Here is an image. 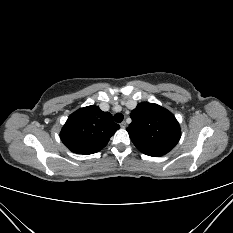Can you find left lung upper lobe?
Returning <instances> with one entry per match:
<instances>
[{"instance_id":"left-lung-upper-lobe-1","label":"left lung upper lobe","mask_w":233,"mask_h":233,"mask_svg":"<svg viewBox=\"0 0 233 233\" xmlns=\"http://www.w3.org/2000/svg\"><path fill=\"white\" fill-rule=\"evenodd\" d=\"M130 117L132 122L126 130L137 149L146 155L159 157L167 154L181 137L174 115L157 104L139 103Z\"/></svg>"}]
</instances>
